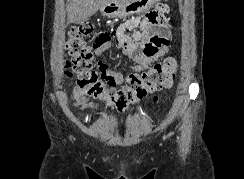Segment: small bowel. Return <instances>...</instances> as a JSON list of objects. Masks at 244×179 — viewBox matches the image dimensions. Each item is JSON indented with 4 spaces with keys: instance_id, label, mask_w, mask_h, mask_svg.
<instances>
[{
    "instance_id": "c3829d8e",
    "label": "small bowel",
    "mask_w": 244,
    "mask_h": 179,
    "mask_svg": "<svg viewBox=\"0 0 244 179\" xmlns=\"http://www.w3.org/2000/svg\"><path fill=\"white\" fill-rule=\"evenodd\" d=\"M150 4H156L158 8L146 9V13H143L145 17L127 18L117 29L99 33L93 43L95 55L101 58L105 51L115 46L133 62L128 68L135 73L147 69L165 56L172 40V33L167 28L168 7L157 1ZM128 30L132 31L130 36L126 33ZM97 66L109 85L123 84L125 76L121 72L113 71L106 61L99 59ZM71 99L79 110L97 111L99 108L97 104H89L86 94L78 87L73 89Z\"/></svg>"
}]
</instances>
